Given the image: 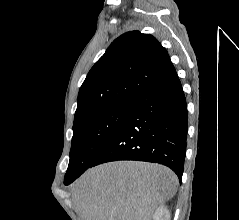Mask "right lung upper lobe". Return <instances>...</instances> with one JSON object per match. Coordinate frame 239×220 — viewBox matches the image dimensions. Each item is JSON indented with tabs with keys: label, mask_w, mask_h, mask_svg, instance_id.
Returning <instances> with one entry per match:
<instances>
[{
	"label": "right lung upper lobe",
	"mask_w": 239,
	"mask_h": 220,
	"mask_svg": "<svg viewBox=\"0 0 239 220\" xmlns=\"http://www.w3.org/2000/svg\"><path fill=\"white\" fill-rule=\"evenodd\" d=\"M175 71L164 47L151 35L127 32L109 46L83 82L74 121L92 112L131 104Z\"/></svg>",
	"instance_id": "1"
}]
</instances>
